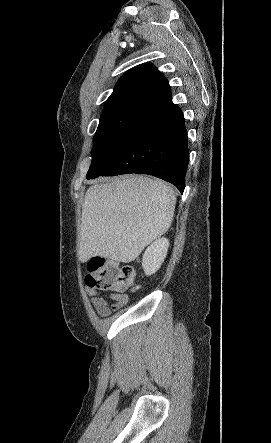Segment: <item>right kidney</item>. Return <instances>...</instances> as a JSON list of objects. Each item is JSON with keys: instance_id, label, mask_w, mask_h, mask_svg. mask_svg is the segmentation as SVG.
Instances as JSON below:
<instances>
[{"instance_id": "right-kidney-1", "label": "right kidney", "mask_w": 271, "mask_h": 443, "mask_svg": "<svg viewBox=\"0 0 271 443\" xmlns=\"http://www.w3.org/2000/svg\"><path fill=\"white\" fill-rule=\"evenodd\" d=\"M168 245L169 241L166 237H158L145 249L142 265L146 275H151V273H155L159 269L167 255Z\"/></svg>"}]
</instances>
